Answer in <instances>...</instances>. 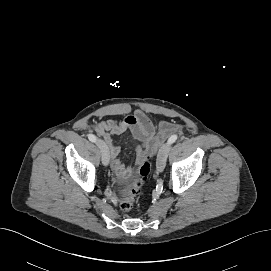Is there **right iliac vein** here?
<instances>
[{"label": "right iliac vein", "instance_id": "63e3f726", "mask_svg": "<svg viewBox=\"0 0 271 271\" xmlns=\"http://www.w3.org/2000/svg\"><path fill=\"white\" fill-rule=\"evenodd\" d=\"M96 144H97V146H98V148L100 149V152H101L102 164L104 166H107L108 163H109V160H110L108 147H107L106 143L101 139H98L96 141Z\"/></svg>", "mask_w": 271, "mask_h": 271}]
</instances>
